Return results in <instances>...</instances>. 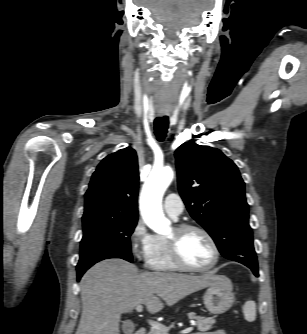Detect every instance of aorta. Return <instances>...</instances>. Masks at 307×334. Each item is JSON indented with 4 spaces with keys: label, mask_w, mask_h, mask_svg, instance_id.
<instances>
[{
    "label": "aorta",
    "mask_w": 307,
    "mask_h": 334,
    "mask_svg": "<svg viewBox=\"0 0 307 334\" xmlns=\"http://www.w3.org/2000/svg\"><path fill=\"white\" fill-rule=\"evenodd\" d=\"M173 177L174 173L170 167L154 169L141 191V216L146 225L158 234H167L171 229V222L162 210V198Z\"/></svg>",
    "instance_id": "762f6f07"
}]
</instances>
